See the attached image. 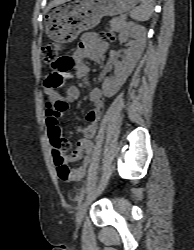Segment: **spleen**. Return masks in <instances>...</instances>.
Masks as SVG:
<instances>
[{"mask_svg": "<svg viewBox=\"0 0 194 250\" xmlns=\"http://www.w3.org/2000/svg\"><path fill=\"white\" fill-rule=\"evenodd\" d=\"M141 5L134 8L130 16L137 21H147L153 13V0H140Z\"/></svg>", "mask_w": 194, "mask_h": 250, "instance_id": "spleen-1", "label": "spleen"}]
</instances>
